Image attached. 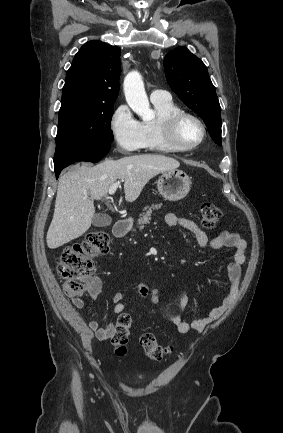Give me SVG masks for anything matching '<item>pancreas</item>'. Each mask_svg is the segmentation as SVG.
I'll use <instances>...</instances> for the list:
<instances>
[{
	"mask_svg": "<svg viewBox=\"0 0 283 433\" xmlns=\"http://www.w3.org/2000/svg\"><path fill=\"white\" fill-rule=\"evenodd\" d=\"M152 208H160V206L159 204H152V206H144L143 210H145V212H142V214H140V219H138L137 221V225H141V227H139L140 231L144 229L145 225H148V223H150Z\"/></svg>",
	"mask_w": 283,
	"mask_h": 433,
	"instance_id": "cf45deb5",
	"label": "pancreas"
}]
</instances>
